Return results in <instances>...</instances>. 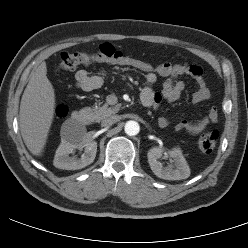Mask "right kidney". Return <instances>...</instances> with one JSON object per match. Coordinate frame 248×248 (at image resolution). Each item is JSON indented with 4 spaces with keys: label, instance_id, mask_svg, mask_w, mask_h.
Here are the masks:
<instances>
[{
    "label": "right kidney",
    "instance_id": "right-kidney-1",
    "mask_svg": "<svg viewBox=\"0 0 248 248\" xmlns=\"http://www.w3.org/2000/svg\"><path fill=\"white\" fill-rule=\"evenodd\" d=\"M84 154L81 158L70 157L69 155L75 149L82 150ZM97 152V143L95 141H81L70 138L67 135H62L61 144L56 150L54 157V166L59 169L65 170H78L82 169L93 163Z\"/></svg>",
    "mask_w": 248,
    "mask_h": 248
}]
</instances>
